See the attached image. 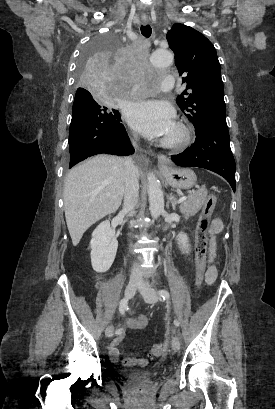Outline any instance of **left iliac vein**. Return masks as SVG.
<instances>
[{
	"instance_id": "4c4485c4",
	"label": "left iliac vein",
	"mask_w": 275,
	"mask_h": 409,
	"mask_svg": "<svg viewBox=\"0 0 275 409\" xmlns=\"http://www.w3.org/2000/svg\"><path fill=\"white\" fill-rule=\"evenodd\" d=\"M139 291L145 302L154 304L159 301V296L157 295L156 291L153 288H150L147 283H141L139 286ZM171 346L176 352L180 350V342L175 330L172 336Z\"/></svg>"
}]
</instances>
